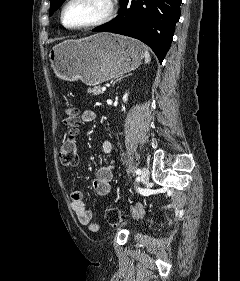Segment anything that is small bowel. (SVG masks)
<instances>
[{"label": "small bowel", "mask_w": 240, "mask_h": 281, "mask_svg": "<svg viewBox=\"0 0 240 281\" xmlns=\"http://www.w3.org/2000/svg\"><path fill=\"white\" fill-rule=\"evenodd\" d=\"M96 117V112L93 110H85L82 113V120L86 123L93 122ZM102 148L106 154H111L115 149L114 145L109 140L103 142ZM113 168V162H110L108 165L102 166L97 170L93 181V189L97 195L105 196L110 193ZM73 182H76L75 177L73 178ZM70 202L79 222L87 226L90 231L96 232L99 229V223L93 220L92 213L86 208L83 194L80 190L74 189L70 192Z\"/></svg>", "instance_id": "obj_1"}]
</instances>
